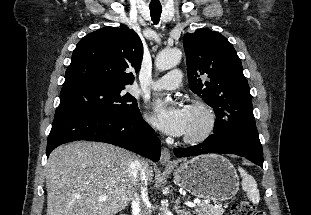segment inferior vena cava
<instances>
[{"label":"inferior vena cava","mask_w":311,"mask_h":215,"mask_svg":"<svg viewBox=\"0 0 311 215\" xmlns=\"http://www.w3.org/2000/svg\"><path fill=\"white\" fill-rule=\"evenodd\" d=\"M130 172L134 185L140 186L142 198L147 197V181L142 161L134 159L130 164ZM132 213L133 215H151L149 208L141 202V197L137 192L132 198Z\"/></svg>","instance_id":"obj_1"}]
</instances>
